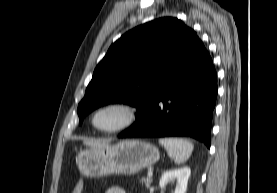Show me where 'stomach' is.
Instances as JSON below:
<instances>
[{
  "label": "stomach",
  "instance_id": "1",
  "mask_svg": "<svg viewBox=\"0 0 277 193\" xmlns=\"http://www.w3.org/2000/svg\"><path fill=\"white\" fill-rule=\"evenodd\" d=\"M159 157V150L153 144L133 139L102 148L80 150L76 163L81 174L87 177L131 175L154 164Z\"/></svg>",
  "mask_w": 277,
  "mask_h": 193
}]
</instances>
